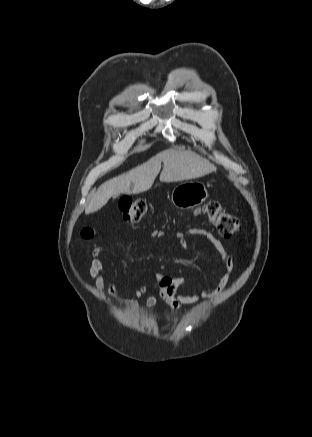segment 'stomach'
<instances>
[{"instance_id":"0dacf381","label":"stomach","mask_w":312,"mask_h":437,"mask_svg":"<svg viewBox=\"0 0 312 437\" xmlns=\"http://www.w3.org/2000/svg\"><path fill=\"white\" fill-rule=\"evenodd\" d=\"M207 197L208 192L202 182L186 181L173 189L171 202L176 208L186 210L201 205Z\"/></svg>"}]
</instances>
